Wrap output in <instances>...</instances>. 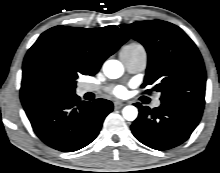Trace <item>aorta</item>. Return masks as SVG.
Masks as SVG:
<instances>
[{
    "instance_id": "1",
    "label": "aorta",
    "mask_w": 220,
    "mask_h": 173,
    "mask_svg": "<svg viewBox=\"0 0 220 173\" xmlns=\"http://www.w3.org/2000/svg\"><path fill=\"white\" fill-rule=\"evenodd\" d=\"M123 66L118 60H108L104 63L103 72L110 79H117L123 74ZM123 117L128 121H134L138 116L135 106L129 105L122 110Z\"/></svg>"
}]
</instances>
